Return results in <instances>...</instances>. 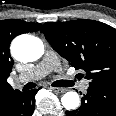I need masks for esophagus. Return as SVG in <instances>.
<instances>
[{"instance_id":"1","label":"esophagus","mask_w":116,"mask_h":116,"mask_svg":"<svg viewBox=\"0 0 116 116\" xmlns=\"http://www.w3.org/2000/svg\"><path fill=\"white\" fill-rule=\"evenodd\" d=\"M49 88L56 93H64L67 91L65 88H58V87H52V86H50Z\"/></svg>"}]
</instances>
